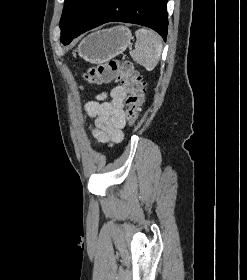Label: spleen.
I'll return each instance as SVG.
<instances>
[{
	"label": "spleen",
	"mask_w": 247,
	"mask_h": 280,
	"mask_svg": "<svg viewBox=\"0 0 247 280\" xmlns=\"http://www.w3.org/2000/svg\"><path fill=\"white\" fill-rule=\"evenodd\" d=\"M135 49L130 51L132 59L142 65L147 71H152L162 52V39L152 30L138 29L135 32Z\"/></svg>",
	"instance_id": "1"
}]
</instances>
